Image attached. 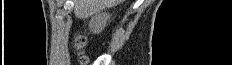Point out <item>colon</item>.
Instances as JSON below:
<instances>
[{"label":"colon","mask_w":232,"mask_h":65,"mask_svg":"<svg viewBox=\"0 0 232 65\" xmlns=\"http://www.w3.org/2000/svg\"><path fill=\"white\" fill-rule=\"evenodd\" d=\"M86 40L83 36L78 35L74 39L73 46L78 53V61L80 64H87V58L83 55Z\"/></svg>","instance_id":"1"}]
</instances>
